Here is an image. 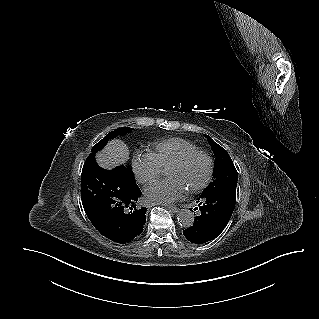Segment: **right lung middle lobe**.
Segmentation results:
<instances>
[{
	"instance_id": "right-lung-middle-lobe-1",
	"label": "right lung middle lobe",
	"mask_w": 319,
	"mask_h": 319,
	"mask_svg": "<svg viewBox=\"0 0 319 319\" xmlns=\"http://www.w3.org/2000/svg\"><path fill=\"white\" fill-rule=\"evenodd\" d=\"M131 132V128L129 127H121L117 128L115 131L108 133L101 141H99L91 150L92 153H95L101 150L105 144L110 140L117 136H123L127 133Z\"/></svg>"
}]
</instances>
